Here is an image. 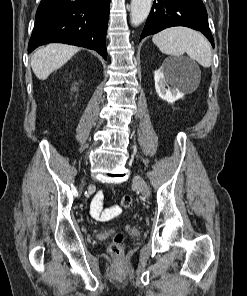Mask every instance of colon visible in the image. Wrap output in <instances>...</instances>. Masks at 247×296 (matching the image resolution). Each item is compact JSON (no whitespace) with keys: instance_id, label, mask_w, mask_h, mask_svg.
<instances>
[{"instance_id":"1","label":"colon","mask_w":247,"mask_h":296,"mask_svg":"<svg viewBox=\"0 0 247 296\" xmlns=\"http://www.w3.org/2000/svg\"><path fill=\"white\" fill-rule=\"evenodd\" d=\"M132 205V198L128 195L124 196L121 201H120V205L113 207L110 209V212L107 214H99L100 218H110L114 215H117L120 212L121 208H128ZM124 241V234L119 232L117 233L114 238L113 241L111 242L110 246H109V252L112 255L118 256L121 254L122 252V244Z\"/></svg>"}]
</instances>
